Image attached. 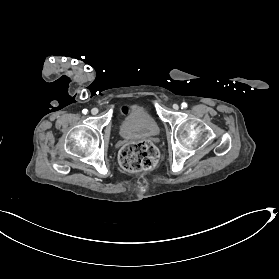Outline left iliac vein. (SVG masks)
I'll list each match as a JSON object with an SVG mask.
<instances>
[{
    "instance_id": "1",
    "label": "left iliac vein",
    "mask_w": 279,
    "mask_h": 279,
    "mask_svg": "<svg viewBox=\"0 0 279 279\" xmlns=\"http://www.w3.org/2000/svg\"><path fill=\"white\" fill-rule=\"evenodd\" d=\"M173 109H174V110H178V109H179V106H178L177 104H174V105H173Z\"/></svg>"
}]
</instances>
